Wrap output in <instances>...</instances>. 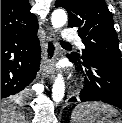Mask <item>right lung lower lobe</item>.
<instances>
[{"label":"right lung lower lobe","instance_id":"98d812e1","mask_svg":"<svg viewBox=\"0 0 122 123\" xmlns=\"http://www.w3.org/2000/svg\"><path fill=\"white\" fill-rule=\"evenodd\" d=\"M37 31L1 35V99L24 97L40 65Z\"/></svg>","mask_w":122,"mask_h":123}]
</instances>
